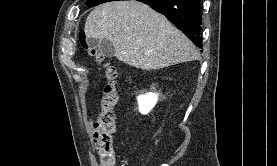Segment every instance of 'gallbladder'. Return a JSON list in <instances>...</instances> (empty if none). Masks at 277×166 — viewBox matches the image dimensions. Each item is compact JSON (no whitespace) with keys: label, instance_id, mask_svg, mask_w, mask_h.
Instances as JSON below:
<instances>
[{"label":"gallbladder","instance_id":"bac80fb5","mask_svg":"<svg viewBox=\"0 0 277 166\" xmlns=\"http://www.w3.org/2000/svg\"><path fill=\"white\" fill-rule=\"evenodd\" d=\"M87 41L90 47L98 49L104 56L109 58L114 56L115 51L111 41L107 39L99 40L94 38H89Z\"/></svg>","mask_w":277,"mask_h":166}]
</instances>
